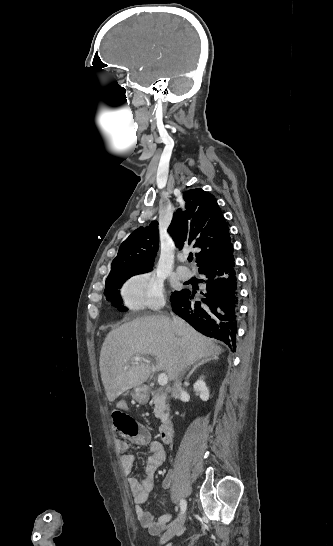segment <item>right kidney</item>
<instances>
[{"mask_svg":"<svg viewBox=\"0 0 333 546\" xmlns=\"http://www.w3.org/2000/svg\"><path fill=\"white\" fill-rule=\"evenodd\" d=\"M203 376L200 377L193 385L194 391L199 393L201 400L206 401L209 399V389L203 381Z\"/></svg>","mask_w":333,"mask_h":546,"instance_id":"1","label":"right kidney"}]
</instances>
